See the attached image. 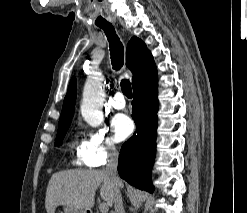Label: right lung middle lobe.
<instances>
[{"instance_id":"1","label":"right lung middle lobe","mask_w":247,"mask_h":213,"mask_svg":"<svg viewBox=\"0 0 247 213\" xmlns=\"http://www.w3.org/2000/svg\"><path fill=\"white\" fill-rule=\"evenodd\" d=\"M70 124H65L63 126H59L58 127V133H57V137L55 140V145H58L61 143V141L63 140L68 128H69Z\"/></svg>"}]
</instances>
